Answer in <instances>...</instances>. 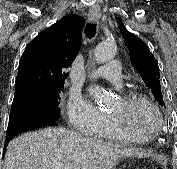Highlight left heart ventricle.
I'll return each mask as SVG.
<instances>
[{
  "instance_id": "obj_1",
  "label": "left heart ventricle",
  "mask_w": 177,
  "mask_h": 169,
  "mask_svg": "<svg viewBox=\"0 0 177 169\" xmlns=\"http://www.w3.org/2000/svg\"><path fill=\"white\" fill-rule=\"evenodd\" d=\"M109 113L125 115L128 132L136 136L150 133L159 126L157 116L149 108L140 104L126 107L122 104L120 97L109 109Z\"/></svg>"
}]
</instances>
